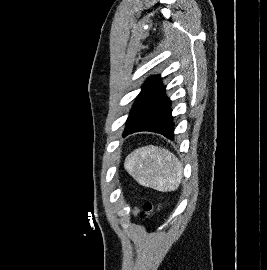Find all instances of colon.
I'll return each instance as SVG.
<instances>
[{
	"label": "colon",
	"instance_id": "5ec220e1",
	"mask_svg": "<svg viewBox=\"0 0 267 270\" xmlns=\"http://www.w3.org/2000/svg\"><path fill=\"white\" fill-rule=\"evenodd\" d=\"M160 206L158 204H155L151 201L147 202L144 205V209L141 213L142 218H149L151 217L156 211H158Z\"/></svg>",
	"mask_w": 267,
	"mask_h": 270
}]
</instances>
